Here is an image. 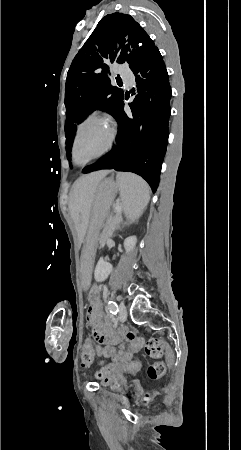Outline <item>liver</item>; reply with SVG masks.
<instances>
[{
	"label": "liver",
	"mask_w": 241,
	"mask_h": 450,
	"mask_svg": "<svg viewBox=\"0 0 241 450\" xmlns=\"http://www.w3.org/2000/svg\"><path fill=\"white\" fill-rule=\"evenodd\" d=\"M111 170H100V172H92L87 176H81L72 188L70 194L69 210L75 218L76 222L80 224L81 230H86L90 208L92 206L93 198L97 192V186Z\"/></svg>",
	"instance_id": "1"
}]
</instances>
